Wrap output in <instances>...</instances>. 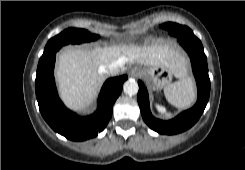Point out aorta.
Returning a JSON list of instances; mask_svg holds the SVG:
<instances>
[{"label": "aorta", "mask_w": 245, "mask_h": 170, "mask_svg": "<svg viewBox=\"0 0 245 170\" xmlns=\"http://www.w3.org/2000/svg\"><path fill=\"white\" fill-rule=\"evenodd\" d=\"M123 90H124V93L127 95H130V96L136 95L139 90L138 83L133 79H129L124 83Z\"/></svg>", "instance_id": "762f6f07"}]
</instances>
